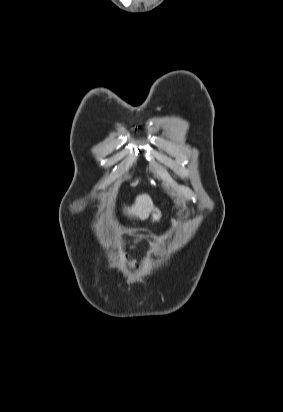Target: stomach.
<instances>
[{"mask_svg": "<svg viewBox=\"0 0 283 412\" xmlns=\"http://www.w3.org/2000/svg\"><path fill=\"white\" fill-rule=\"evenodd\" d=\"M161 217H162L161 210L157 207H154L152 211V220L158 222L161 219Z\"/></svg>", "mask_w": 283, "mask_h": 412, "instance_id": "stomach-1", "label": "stomach"}]
</instances>
